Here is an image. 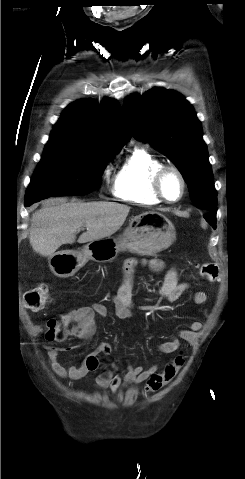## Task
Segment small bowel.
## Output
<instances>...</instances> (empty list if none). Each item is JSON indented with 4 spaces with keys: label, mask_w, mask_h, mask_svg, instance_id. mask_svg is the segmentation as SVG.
Segmentation results:
<instances>
[{
    "label": "small bowel",
    "mask_w": 245,
    "mask_h": 479,
    "mask_svg": "<svg viewBox=\"0 0 245 479\" xmlns=\"http://www.w3.org/2000/svg\"><path fill=\"white\" fill-rule=\"evenodd\" d=\"M139 261L134 258L128 259L123 268V279L116 292L112 295V303L114 306V313L120 319L131 318L133 312V276L136 266ZM146 264L153 270L160 271L164 268L161 260L153 259ZM190 288L188 282H182L178 278V273L174 268H170L165 273V278L157 293L160 297L169 302L178 300ZM194 303L203 305L207 302V294L202 291L195 292L193 295ZM205 314L208 315L207 311ZM98 315L100 317H108L109 310L107 306L100 303L92 304L91 306L81 307L71 310L65 315V318L73 323L74 326L69 332V336L84 340L86 334L94 330V318ZM51 326V320L47 323ZM203 325L200 321L191 323L188 329L181 330L177 336L171 337L168 341L158 344V349L163 354H171L176 352L181 345V341L191 342L194 340L195 334L202 329ZM54 340V339H50ZM61 341V340H56ZM60 348L50 345L47 350L48 361L51 369L60 378H69L72 380H79L90 373H97L100 368V356L109 355L112 352V345L108 342H101L97 349L88 353L80 365L67 363L61 364L58 361ZM157 365H152L149 368L143 366L128 365L124 376H120L111 371L98 372L95 378V386L98 389H110L113 393L121 391L129 385L140 384L146 382L150 376L156 374Z\"/></svg>",
    "instance_id": "1"
}]
</instances>
